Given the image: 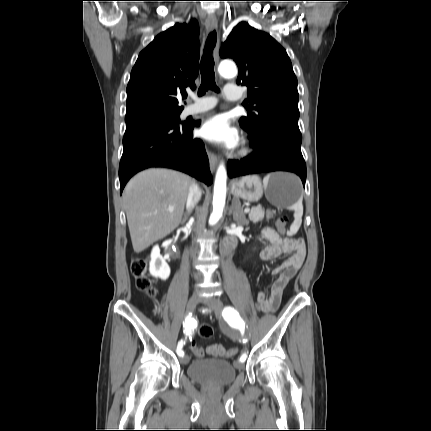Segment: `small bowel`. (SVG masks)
Here are the masks:
<instances>
[{
  "instance_id": "1",
  "label": "small bowel",
  "mask_w": 431,
  "mask_h": 431,
  "mask_svg": "<svg viewBox=\"0 0 431 431\" xmlns=\"http://www.w3.org/2000/svg\"><path fill=\"white\" fill-rule=\"evenodd\" d=\"M262 236L268 241V245L261 253L264 260L270 261L283 254H289L283 263L272 270V273L279 274V277L273 283L270 291L267 293L258 292L256 295V299L261 305V312H269L277 309L284 289L301 268L305 259V246L302 240L283 238L269 227L262 230ZM203 350L204 355L226 357L228 349L219 344H212Z\"/></svg>"
}]
</instances>
